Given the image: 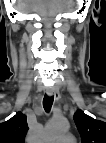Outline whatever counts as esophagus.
Masks as SVG:
<instances>
[{
  "label": "esophagus",
  "instance_id": "obj_1",
  "mask_svg": "<svg viewBox=\"0 0 106 143\" xmlns=\"http://www.w3.org/2000/svg\"><path fill=\"white\" fill-rule=\"evenodd\" d=\"M46 94L50 97H54L55 100H58L59 98V94L53 88H48Z\"/></svg>",
  "mask_w": 106,
  "mask_h": 143
}]
</instances>
